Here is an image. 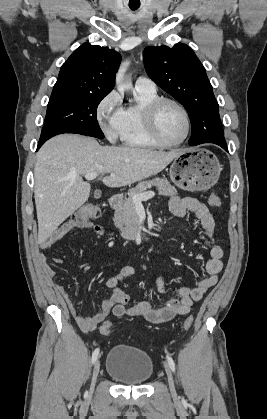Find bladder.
Returning <instances> with one entry per match:
<instances>
[{
	"mask_svg": "<svg viewBox=\"0 0 267 419\" xmlns=\"http://www.w3.org/2000/svg\"><path fill=\"white\" fill-rule=\"evenodd\" d=\"M106 372L123 385H144L153 375V361L138 348L116 345L108 353Z\"/></svg>",
	"mask_w": 267,
	"mask_h": 419,
	"instance_id": "obj_1",
	"label": "bladder"
}]
</instances>
